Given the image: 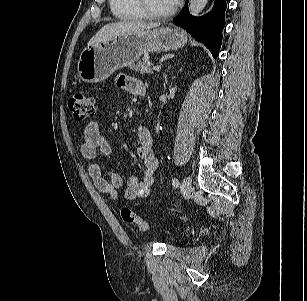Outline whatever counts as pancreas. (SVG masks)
<instances>
[{"instance_id":"obj_1","label":"pancreas","mask_w":307,"mask_h":301,"mask_svg":"<svg viewBox=\"0 0 307 301\" xmlns=\"http://www.w3.org/2000/svg\"><path fill=\"white\" fill-rule=\"evenodd\" d=\"M151 67L152 63L147 56H144L142 61H139L136 65L133 64L130 66L131 69L141 74H151L153 72Z\"/></svg>"}]
</instances>
